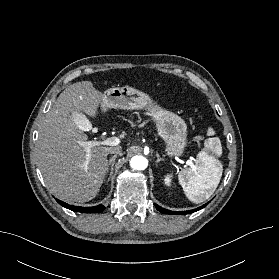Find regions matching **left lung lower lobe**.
Wrapping results in <instances>:
<instances>
[{
    "label": "left lung lower lobe",
    "mask_w": 279,
    "mask_h": 279,
    "mask_svg": "<svg viewBox=\"0 0 279 279\" xmlns=\"http://www.w3.org/2000/svg\"><path fill=\"white\" fill-rule=\"evenodd\" d=\"M207 204L208 203L204 204L203 206H201V207H199L197 209L189 210V211H170V210L164 209V208H162V207H160L158 205H156V209L158 211H160L161 213H164V214H182V215H184V214H189V213H193V212H195L197 210H200V209L204 208Z\"/></svg>",
    "instance_id": "obj_1"
}]
</instances>
